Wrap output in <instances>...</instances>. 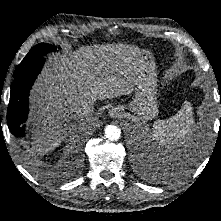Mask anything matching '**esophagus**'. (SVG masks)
<instances>
[{"label": "esophagus", "instance_id": "obj_1", "mask_svg": "<svg viewBox=\"0 0 221 221\" xmlns=\"http://www.w3.org/2000/svg\"><path fill=\"white\" fill-rule=\"evenodd\" d=\"M122 114V111L120 108L118 107H114L109 111V116L111 118H119Z\"/></svg>", "mask_w": 221, "mask_h": 221}]
</instances>
